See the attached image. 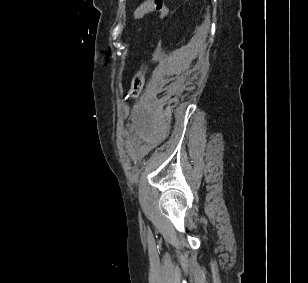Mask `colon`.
Returning a JSON list of instances; mask_svg holds the SVG:
<instances>
[{"label": "colon", "mask_w": 308, "mask_h": 283, "mask_svg": "<svg viewBox=\"0 0 308 283\" xmlns=\"http://www.w3.org/2000/svg\"><path fill=\"white\" fill-rule=\"evenodd\" d=\"M150 12H157L159 13L160 17L164 19L168 14V9L162 0H147L135 10L133 18L135 20H139L145 14ZM145 78L146 72L144 69L138 71L135 74L128 91V98L135 99L139 96L143 89Z\"/></svg>", "instance_id": "1"}]
</instances>
